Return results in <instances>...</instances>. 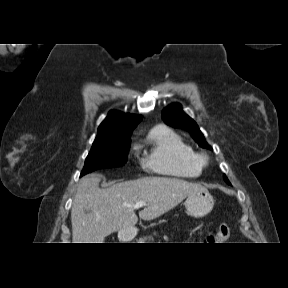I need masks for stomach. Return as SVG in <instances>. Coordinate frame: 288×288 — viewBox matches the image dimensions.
I'll return each instance as SVG.
<instances>
[{
    "mask_svg": "<svg viewBox=\"0 0 288 288\" xmlns=\"http://www.w3.org/2000/svg\"><path fill=\"white\" fill-rule=\"evenodd\" d=\"M184 204L188 214L198 218L207 215L213 209L214 199L207 189H202L189 195ZM135 234V230L122 232L119 233V237L127 241L131 240Z\"/></svg>",
    "mask_w": 288,
    "mask_h": 288,
    "instance_id": "obj_1",
    "label": "stomach"
}]
</instances>
